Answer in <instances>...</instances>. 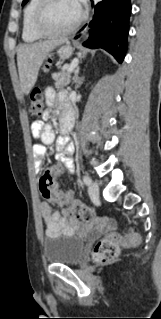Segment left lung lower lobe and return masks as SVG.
<instances>
[{
  "instance_id": "0a47b994",
  "label": "left lung lower lobe",
  "mask_w": 161,
  "mask_h": 319,
  "mask_svg": "<svg viewBox=\"0 0 161 319\" xmlns=\"http://www.w3.org/2000/svg\"><path fill=\"white\" fill-rule=\"evenodd\" d=\"M92 6L94 16L89 25L90 37L83 45L103 48L121 63L127 50L131 0H102ZM79 37L78 35L75 39Z\"/></svg>"
}]
</instances>
